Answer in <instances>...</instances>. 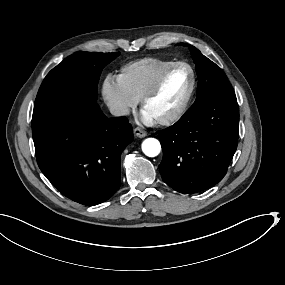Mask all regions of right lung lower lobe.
<instances>
[{
	"label": "right lung lower lobe",
	"instance_id": "1",
	"mask_svg": "<svg viewBox=\"0 0 285 285\" xmlns=\"http://www.w3.org/2000/svg\"><path fill=\"white\" fill-rule=\"evenodd\" d=\"M32 134L40 170L67 198L93 206L119 189L121 153L134 140L126 117L106 118L96 99L66 92L34 106Z\"/></svg>",
	"mask_w": 285,
	"mask_h": 285
}]
</instances>
